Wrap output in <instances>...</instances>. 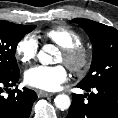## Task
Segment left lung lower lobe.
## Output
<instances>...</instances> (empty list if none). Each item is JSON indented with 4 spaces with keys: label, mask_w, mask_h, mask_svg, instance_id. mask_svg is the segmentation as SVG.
Instances as JSON below:
<instances>
[{
    "label": "left lung lower lobe",
    "mask_w": 118,
    "mask_h": 118,
    "mask_svg": "<svg viewBox=\"0 0 118 118\" xmlns=\"http://www.w3.org/2000/svg\"><path fill=\"white\" fill-rule=\"evenodd\" d=\"M77 87L95 93L73 94L72 104L66 118H118V81H111L86 87L78 83ZM85 98H87L85 100Z\"/></svg>",
    "instance_id": "obj_1"
}]
</instances>
